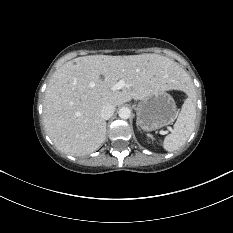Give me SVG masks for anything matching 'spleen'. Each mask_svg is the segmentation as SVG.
Here are the masks:
<instances>
[{"label": "spleen", "mask_w": 233, "mask_h": 233, "mask_svg": "<svg viewBox=\"0 0 233 233\" xmlns=\"http://www.w3.org/2000/svg\"><path fill=\"white\" fill-rule=\"evenodd\" d=\"M196 120L195 96L189 93V97L182 105V109L173 126L172 132L163 141V147L168 152L182 147L192 134Z\"/></svg>", "instance_id": "obj_1"}]
</instances>
